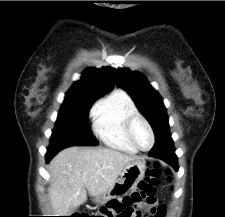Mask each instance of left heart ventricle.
<instances>
[{
  "label": "left heart ventricle",
  "instance_id": "1",
  "mask_svg": "<svg viewBox=\"0 0 225 217\" xmlns=\"http://www.w3.org/2000/svg\"><path fill=\"white\" fill-rule=\"evenodd\" d=\"M134 136L140 147L148 148L151 145L150 132L142 122H137L135 124Z\"/></svg>",
  "mask_w": 225,
  "mask_h": 217
}]
</instances>
